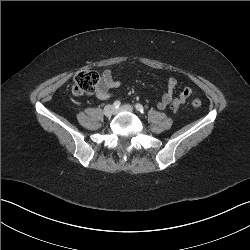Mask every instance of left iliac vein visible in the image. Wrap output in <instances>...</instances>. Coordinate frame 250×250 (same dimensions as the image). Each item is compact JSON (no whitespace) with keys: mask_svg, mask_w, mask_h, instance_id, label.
<instances>
[{"mask_svg":"<svg viewBox=\"0 0 250 250\" xmlns=\"http://www.w3.org/2000/svg\"><path fill=\"white\" fill-rule=\"evenodd\" d=\"M122 111L133 112L134 108L130 105H123L119 109L116 110V112H122Z\"/></svg>","mask_w":250,"mask_h":250,"instance_id":"left-iliac-vein-1","label":"left iliac vein"}]
</instances>
